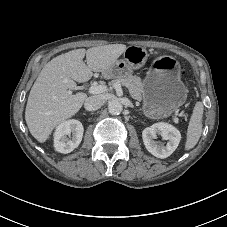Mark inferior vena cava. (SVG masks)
I'll use <instances>...</instances> for the list:
<instances>
[{"instance_id": "inferior-vena-cava-1", "label": "inferior vena cava", "mask_w": 227, "mask_h": 227, "mask_svg": "<svg viewBox=\"0 0 227 227\" xmlns=\"http://www.w3.org/2000/svg\"><path fill=\"white\" fill-rule=\"evenodd\" d=\"M105 100L103 96L95 95L88 97L84 102V108L87 111H95L98 110L103 104Z\"/></svg>"}]
</instances>
